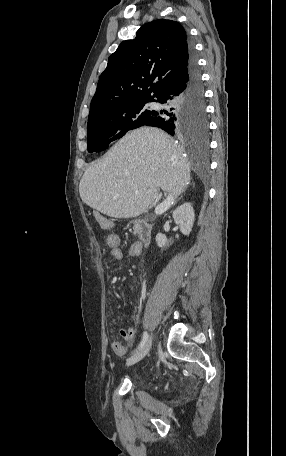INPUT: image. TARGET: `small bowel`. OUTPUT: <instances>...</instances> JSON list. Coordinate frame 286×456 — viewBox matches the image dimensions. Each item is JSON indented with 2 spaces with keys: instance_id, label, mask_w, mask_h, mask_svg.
<instances>
[{
  "instance_id": "c3829d8e",
  "label": "small bowel",
  "mask_w": 286,
  "mask_h": 456,
  "mask_svg": "<svg viewBox=\"0 0 286 456\" xmlns=\"http://www.w3.org/2000/svg\"><path fill=\"white\" fill-rule=\"evenodd\" d=\"M107 246L109 247V256L113 260H123L125 258L137 257L142 252V246L140 243H133L126 252L120 247V239L118 235L111 233L106 238ZM122 338L128 342L133 343L135 339V329L133 327L122 328L120 331ZM112 349L117 356L125 355L127 347L121 342L114 341L112 343Z\"/></svg>"
}]
</instances>
